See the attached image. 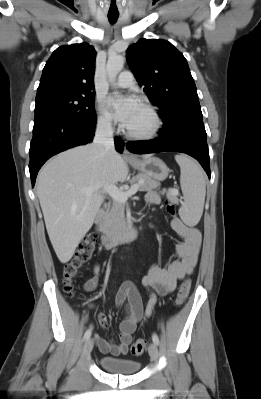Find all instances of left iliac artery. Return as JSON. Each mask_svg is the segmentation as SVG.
I'll list each match as a JSON object with an SVG mask.
<instances>
[{"mask_svg": "<svg viewBox=\"0 0 261 399\" xmlns=\"http://www.w3.org/2000/svg\"><path fill=\"white\" fill-rule=\"evenodd\" d=\"M152 340H153V342H154L156 345L159 344V338H158L157 334L154 333V334L152 335Z\"/></svg>", "mask_w": 261, "mask_h": 399, "instance_id": "left-iliac-artery-1", "label": "left iliac artery"}]
</instances>
